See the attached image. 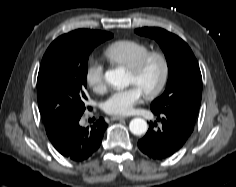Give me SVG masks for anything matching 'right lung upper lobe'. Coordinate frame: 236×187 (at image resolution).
<instances>
[{
  "mask_svg": "<svg viewBox=\"0 0 236 187\" xmlns=\"http://www.w3.org/2000/svg\"><path fill=\"white\" fill-rule=\"evenodd\" d=\"M96 32H102V31H97V30H86V29H79V30H75L73 32L68 33L69 35H73V36H86V35H90ZM62 128H53V129H47L46 128V132L47 135L50 139V141H53L58 133L61 131Z\"/></svg>",
  "mask_w": 236,
  "mask_h": 187,
  "instance_id": "obj_1",
  "label": "right lung upper lobe"
}]
</instances>
